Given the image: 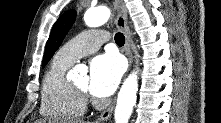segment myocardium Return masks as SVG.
I'll list each match as a JSON object with an SVG mask.
<instances>
[{
	"label": "myocardium",
	"instance_id": "1",
	"mask_svg": "<svg viewBox=\"0 0 221 123\" xmlns=\"http://www.w3.org/2000/svg\"><path fill=\"white\" fill-rule=\"evenodd\" d=\"M71 86L73 90L84 100L88 99L90 97V94L88 90H83L79 87H77L75 84L71 83Z\"/></svg>",
	"mask_w": 221,
	"mask_h": 123
}]
</instances>
